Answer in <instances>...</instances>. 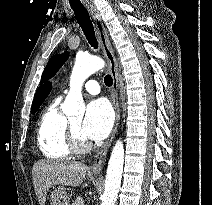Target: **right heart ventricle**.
Returning a JSON list of instances; mask_svg holds the SVG:
<instances>
[{
  "instance_id": "right-heart-ventricle-1",
  "label": "right heart ventricle",
  "mask_w": 212,
  "mask_h": 205,
  "mask_svg": "<svg viewBox=\"0 0 212 205\" xmlns=\"http://www.w3.org/2000/svg\"><path fill=\"white\" fill-rule=\"evenodd\" d=\"M60 99L53 101L42 113L37 127V143L43 155L62 160L71 156L68 145V120L59 109Z\"/></svg>"
}]
</instances>
